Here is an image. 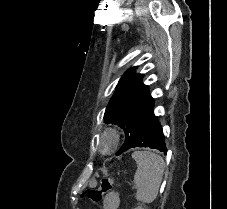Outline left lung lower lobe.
<instances>
[{
	"label": "left lung lower lobe",
	"instance_id": "0a47b994",
	"mask_svg": "<svg viewBox=\"0 0 227 209\" xmlns=\"http://www.w3.org/2000/svg\"><path fill=\"white\" fill-rule=\"evenodd\" d=\"M153 107L144 115L138 125L135 137L128 149L150 147L167 153L162 127L154 115Z\"/></svg>",
	"mask_w": 227,
	"mask_h": 209
}]
</instances>
